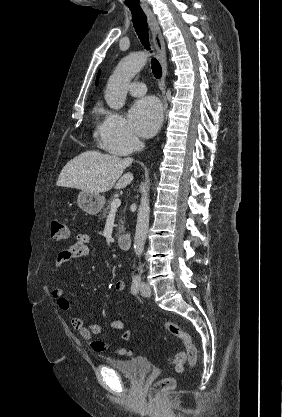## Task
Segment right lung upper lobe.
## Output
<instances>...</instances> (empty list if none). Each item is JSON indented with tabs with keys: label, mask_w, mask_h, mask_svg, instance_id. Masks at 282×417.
I'll return each mask as SVG.
<instances>
[{
	"label": "right lung upper lobe",
	"mask_w": 282,
	"mask_h": 417,
	"mask_svg": "<svg viewBox=\"0 0 282 417\" xmlns=\"http://www.w3.org/2000/svg\"><path fill=\"white\" fill-rule=\"evenodd\" d=\"M99 75H100V71H99V73H98V75H97V80H98V78H99ZM96 85H97V81H96V83H95Z\"/></svg>",
	"instance_id": "1"
}]
</instances>
